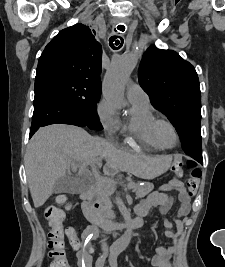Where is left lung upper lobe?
I'll list each match as a JSON object with an SVG mask.
<instances>
[{
	"label": "left lung upper lobe",
	"instance_id": "left-lung-upper-lobe-1",
	"mask_svg": "<svg viewBox=\"0 0 225 267\" xmlns=\"http://www.w3.org/2000/svg\"><path fill=\"white\" fill-rule=\"evenodd\" d=\"M139 82L151 104L176 128L185 153L203 160L201 93L194 67L172 50L151 46L143 54Z\"/></svg>",
	"mask_w": 225,
	"mask_h": 267
}]
</instances>
